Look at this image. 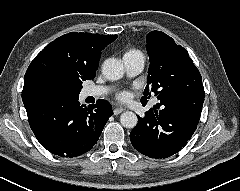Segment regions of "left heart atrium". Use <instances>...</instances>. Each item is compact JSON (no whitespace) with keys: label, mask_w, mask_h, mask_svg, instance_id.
<instances>
[{"label":"left heart atrium","mask_w":240,"mask_h":191,"mask_svg":"<svg viewBox=\"0 0 240 191\" xmlns=\"http://www.w3.org/2000/svg\"><path fill=\"white\" fill-rule=\"evenodd\" d=\"M117 98L120 101H127L130 98V93L127 91H121L117 94Z\"/></svg>","instance_id":"obj_1"}]
</instances>
